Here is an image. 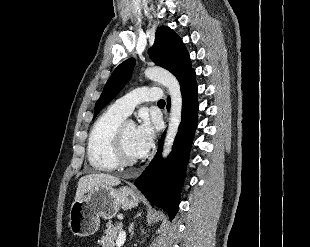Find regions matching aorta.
Wrapping results in <instances>:
<instances>
[{"label": "aorta", "mask_w": 310, "mask_h": 247, "mask_svg": "<svg viewBox=\"0 0 310 247\" xmlns=\"http://www.w3.org/2000/svg\"><path fill=\"white\" fill-rule=\"evenodd\" d=\"M150 80L157 81L167 88L171 98V110L168 130L165 137L162 156L166 158L173 147L182 117V95L178 80L167 70L158 67H149L144 72Z\"/></svg>", "instance_id": "obj_1"}]
</instances>
